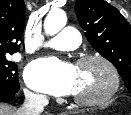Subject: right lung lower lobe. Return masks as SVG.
I'll return each instance as SVG.
<instances>
[{
  "label": "right lung lower lobe",
  "instance_id": "1",
  "mask_svg": "<svg viewBox=\"0 0 131 115\" xmlns=\"http://www.w3.org/2000/svg\"><path fill=\"white\" fill-rule=\"evenodd\" d=\"M18 91H19V86L17 87L16 90L0 93V102H4V103L9 102L16 96Z\"/></svg>",
  "mask_w": 131,
  "mask_h": 115
}]
</instances>
